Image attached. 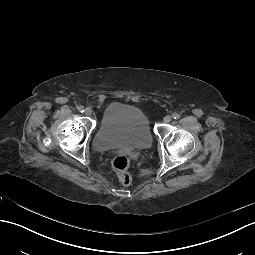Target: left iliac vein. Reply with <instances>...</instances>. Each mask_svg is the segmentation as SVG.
<instances>
[{"label":"left iliac vein","mask_w":255,"mask_h":255,"mask_svg":"<svg viewBox=\"0 0 255 255\" xmlns=\"http://www.w3.org/2000/svg\"><path fill=\"white\" fill-rule=\"evenodd\" d=\"M172 120V117L170 115H166L163 119L165 123H169Z\"/></svg>","instance_id":"1"}]
</instances>
